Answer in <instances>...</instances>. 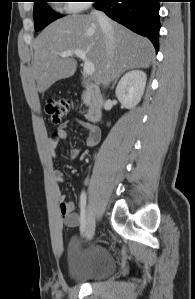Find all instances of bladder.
I'll return each mask as SVG.
<instances>
[{
    "label": "bladder",
    "instance_id": "bladder-1",
    "mask_svg": "<svg viewBox=\"0 0 195 299\" xmlns=\"http://www.w3.org/2000/svg\"><path fill=\"white\" fill-rule=\"evenodd\" d=\"M68 252L73 280L88 283L109 277L115 272V261L105 246L83 248L81 239L75 237L69 243Z\"/></svg>",
    "mask_w": 195,
    "mask_h": 299
}]
</instances>
